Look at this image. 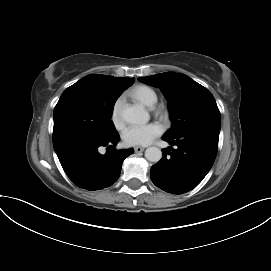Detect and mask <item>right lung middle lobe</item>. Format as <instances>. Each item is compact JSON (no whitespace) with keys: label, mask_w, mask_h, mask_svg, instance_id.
Masks as SVG:
<instances>
[{"label":"right lung middle lobe","mask_w":271,"mask_h":271,"mask_svg":"<svg viewBox=\"0 0 271 271\" xmlns=\"http://www.w3.org/2000/svg\"><path fill=\"white\" fill-rule=\"evenodd\" d=\"M122 92L84 78L68 87L54 108V149L80 139L116 135L110 117Z\"/></svg>","instance_id":"obj_1"}]
</instances>
